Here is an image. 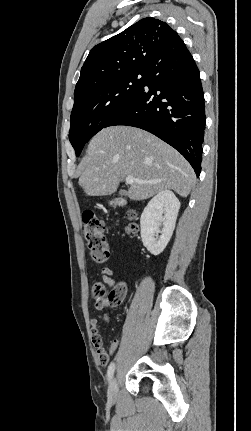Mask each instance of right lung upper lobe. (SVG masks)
<instances>
[{
    "mask_svg": "<svg viewBox=\"0 0 251 431\" xmlns=\"http://www.w3.org/2000/svg\"><path fill=\"white\" fill-rule=\"evenodd\" d=\"M182 46L184 42L165 22L141 19L93 47L81 68L74 95L121 74L146 70L159 55Z\"/></svg>",
    "mask_w": 251,
    "mask_h": 431,
    "instance_id": "obj_1",
    "label": "right lung upper lobe"
}]
</instances>
